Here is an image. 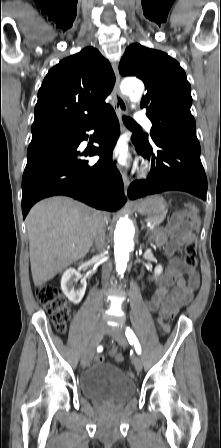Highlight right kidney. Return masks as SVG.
<instances>
[{
  "label": "right kidney",
  "instance_id": "right-kidney-1",
  "mask_svg": "<svg viewBox=\"0 0 221 448\" xmlns=\"http://www.w3.org/2000/svg\"><path fill=\"white\" fill-rule=\"evenodd\" d=\"M80 280V287L74 288V283ZM87 282L82 278L80 272L76 271L74 268L67 269L61 278V289L64 295L73 304H78L81 302L85 291Z\"/></svg>",
  "mask_w": 221,
  "mask_h": 448
}]
</instances>
